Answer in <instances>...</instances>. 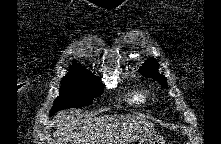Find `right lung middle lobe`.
Masks as SVG:
<instances>
[{
    "label": "right lung middle lobe",
    "instance_id": "right-lung-middle-lobe-1",
    "mask_svg": "<svg viewBox=\"0 0 221 144\" xmlns=\"http://www.w3.org/2000/svg\"><path fill=\"white\" fill-rule=\"evenodd\" d=\"M103 86L97 77L84 68L70 69L62 79L60 94L55 99L50 115L72 107L88 106L94 98L103 93Z\"/></svg>",
    "mask_w": 221,
    "mask_h": 144
}]
</instances>
